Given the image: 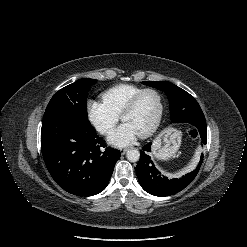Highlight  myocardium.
Masks as SVG:
<instances>
[{
  "label": "myocardium",
  "mask_w": 247,
  "mask_h": 247,
  "mask_svg": "<svg viewBox=\"0 0 247 247\" xmlns=\"http://www.w3.org/2000/svg\"><path fill=\"white\" fill-rule=\"evenodd\" d=\"M146 93H153L157 96L158 101H159V113H158L157 119L154 122V124L148 130L139 134V136L141 138H147V137L151 136L153 133H155L157 131V129L161 125V122H162V119L164 116V111H165L164 99H163V96L161 95V93L159 91H157L156 89H153V88H145V89L141 90L128 102V104L124 107V109L120 115L121 119L124 120V117L136 108L140 99Z\"/></svg>",
  "instance_id": "myocardium-1"
}]
</instances>
